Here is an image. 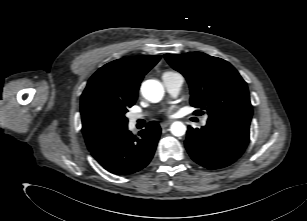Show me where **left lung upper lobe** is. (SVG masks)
Listing matches in <instances>:
<instances>
[{
	"mask_svg": "<svg viewBox=\"0 0 307 221\" xmlns=\"http://www.w3.org/2000/svg\"><path fill=\"white\" fill-rule=\"evenodd\" d=\"M164 57L187 79L192 106L205 110L209 118L231 116L251 120L253 110L247 84L229 62L202 52Z\"/></svg>",
	"mask_w": 307,
	"mask_h": 221,
	"instance_id": "left-lung-upper-lobe-1",
	"label": "left lung upper lobe"
}]
</instances>
